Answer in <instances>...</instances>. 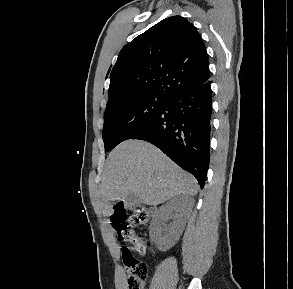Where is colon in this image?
<instances>
[{"mask_svg": "<svg viewBox=\"0 0 293 289\" xmlns=\"http://www.w3.org/2000/svg\"><path fill=\"white\" fill-rule=\"evenodd\" d=\"M148 220L149 213L143 207L134 208L128 213L118 211L111 216V223L118 240L131 243L134 250L141 254L146 251V243L135 235L133 228L145 226ZM121 252L127 272V289H143L148 273L146 263L137 259L133 250L128 247H123Z\"/></svg>", "mask_w": 293, "mask_h": 289, "instance_id": "5ec220e1", "label": "colon"}]
</instances>
